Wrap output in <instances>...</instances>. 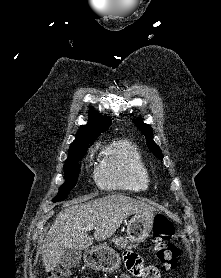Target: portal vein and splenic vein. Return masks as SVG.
I'll return each instance as SVG.
<instances>
[{"label":"portal vein and splenic vein","mask_w":221,"mask_h":278,"mask_svg":"<svg viewBox=\"0 0 221 278\" xmlns=\"http://www.w3.org/2000/svg\"><path fill=\"white\" fill-rule=\"evenodd\" d=\"M93 228H95L94 224H90L87 226V230H92Z\"/></svg>","instance_id":"portal-vein-and-splenic-vein-1"}]
</instances>
